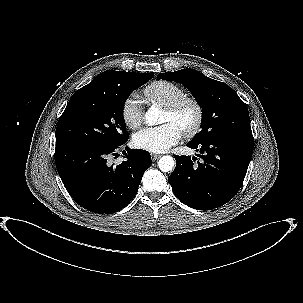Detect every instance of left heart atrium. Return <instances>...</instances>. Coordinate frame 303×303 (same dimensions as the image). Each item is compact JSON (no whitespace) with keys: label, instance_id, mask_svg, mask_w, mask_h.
<instances>
[{"label":"left heart atrium","instance_id":"obj_1","mask_svg":"<svg viewBox=\"0 0 303 303\" xmlns=\"http://www.w3.org/2000/svg\"><path fill=\"white\" fill-rule=\"evenodd\" d=\"M181 136V130L173 123L168 122L158 127L140 130L133 136V144L142 150L162 153L177 144Z\"/></svg>","mask_w":303,"mask_h":303}]
</instances>
